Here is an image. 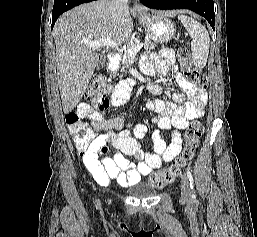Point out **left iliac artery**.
I'll return each instance as SVG.
<instances>
[{
	"instance_id": "left-iliac-artery-1",
	"label": "left iliac artery",
	"mask_w": 257,
	"mask_h": 237,
	"mask_svg": "<svg viewBox=\"0 0 257 237\" xmlns=\"http://www.w3.org/2000/svg\"><path fill=\"white\" fill-rule=\"evenodd\" d=\"M187 177L190 181V187L192 189V197H195V191H194V180L191 172L189 170L186 171Z\"/></svg>"
}]
</instances>
